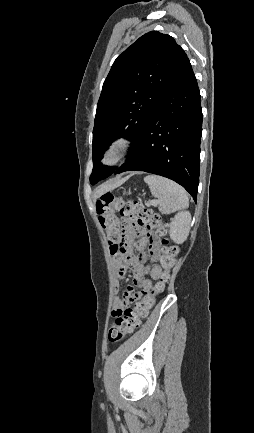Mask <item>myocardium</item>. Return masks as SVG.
<instances>
[{
    "label": "myocardium",
    "mask_w": 254,
    "mask_h": 433,
    "mask_svg": "<svg viewBox=\"0 0 254 433\" xmlns=\"http://www.w3.org/2000/svg\"><path fill=\"white\" fill-rule=\"evenodd\" d=\"M133 139L126 136H119L113 138L103 150L101 155V163L104 166L113 167L119 164L133 149ZM109 156H112L110 161L107 160Z\"/></svg>",
    "instance_id": "f54148a6"
}]
</instances>
